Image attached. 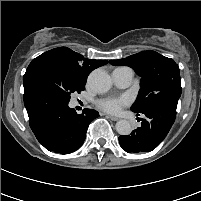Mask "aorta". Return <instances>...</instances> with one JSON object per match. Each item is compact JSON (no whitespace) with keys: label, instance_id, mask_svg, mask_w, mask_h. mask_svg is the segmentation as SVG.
Masks as SVG:
<instances>
[{"label":"aorta","instance_id":"1","mask_svg":"<svg viewBox=\"0 0 201 201\" xmlns=\"http://www.w3.org/2000/svg\"><path fill=\"white\" fill-rule=\"evenodd\" d=\"M88 84L95 92L105 93L111 88L112 82L107 72L96 69L90 73ZM116 130L120 135H129L132 131L131 123L128 120H119L116 123Z\"/></svg>","mask_w":201,"mask_h":201}]
</instances>
